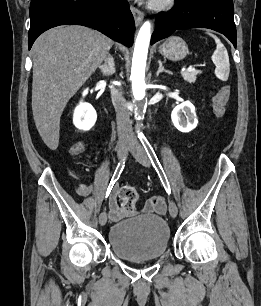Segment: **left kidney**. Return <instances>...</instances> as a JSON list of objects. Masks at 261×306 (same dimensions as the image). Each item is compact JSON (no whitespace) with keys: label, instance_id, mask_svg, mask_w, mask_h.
<instances>
[{"label":"left kidney","instance_id":"5707ae66","mask_svg":"<svg viewBox=\"0 0 261 306\" xmlns=\"http://www.w3.org/2000/svg\"><path fill=\"white\" fill-rule=\"evenodd\" d=\"M171 119L174 126L183 133L192 131L198 123L195 107L190 101L183 102L175 107L171 113Z\"/></svg>","mask_w":261,"mask_h":306}]
</instances>
